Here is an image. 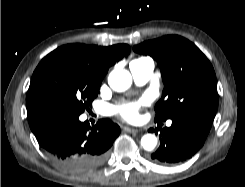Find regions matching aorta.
<instances>
[{
	"mask_svg": "<svg viewBox=\"0 0 245 187\" xmlns=\"http://www.w3.org/2000/svg\"><path fill=\"white\" fill-rule=\"evenodd\" d=\"M108 83L114 91L123 92L131 86L132 77L127 70L115 69L109 74ZM141 145L146 151H152L157 145L156 136L145 134L141 138Z\"/></svg>",
	"mask_w": 245,
	"mask_h": 187,
	"instance_id": "1",
	"label": "aorta"
}]
</instances>
